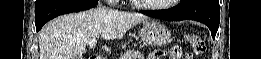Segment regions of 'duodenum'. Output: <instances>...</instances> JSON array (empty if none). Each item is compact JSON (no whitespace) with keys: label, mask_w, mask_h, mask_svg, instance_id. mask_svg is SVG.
<instances>
[{"label":"duodenum","mask_w":261,"mask_h":59,"mask_svg":"<svg viewBox=\"0 0 261 59\" xmlns=\"http://www.w3.org/2000/svg\"><path fill=\"white\" fill-rule=\"evenodd\" d=\"M89 59H105V57H103L101 55H93Z\"/></svg>","instance_id":"obj_1"}]
</instances>
